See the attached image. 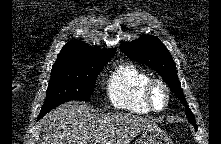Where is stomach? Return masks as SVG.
<instances>
[{
    "label": "stomach",
    "mask_w": 221,
    "mask_h": 144,
    "mask_svg": "<svg viewBox=\"0 0 221 144\" xmlns=\"http://www.w3.org/2000/svg\"><path fill=\"white\" fill-rule=\"evenodd\" d=\"M167 133L158 127L147 129L142 132L139 144H170Z\"/></svg>",
    "instance_id": "1"
}]
</instances>
